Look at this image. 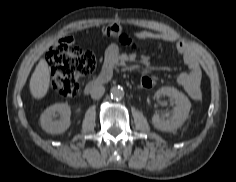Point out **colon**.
<instances>
[{
  "mask_svg": "<svg viewBox=\"0 0 236 182\" xmlns=\"http://www.w3.org/2000/svg\"><path fill=\"white\" fill-rule=\"evenodd\" d=\"M103 31L124 45L131 44L128 36L114 26L105 27ZM70 45L69 40L63 38L55 42L48 52L52 89L65 98L75 96L79 90V80L91 74L96 67V58L91 51ZM155 83L148 75L142 76L139 82L143 89H151Z\"/></svg>",
  "mask_w": 236,
  "mask_h": 182,
  "instance_id": "obj_1",
  "label": "colon"
}]
</instances>
